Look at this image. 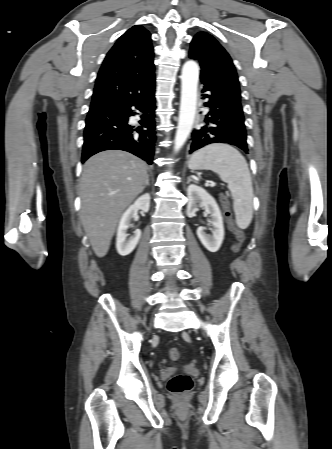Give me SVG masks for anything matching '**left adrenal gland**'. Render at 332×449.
I'll return each instance as SVG.
<instances>
[{"instance_id": "left-adrenal-gland-1", "label": "left adrenal gland", "mask_w": 332, "mask_h": 449, "mask_svg": "<svg viewBox=\"0 0 332 449\" xmlns=\"http://www.w3.org/2000/svg\"><path fill=\"white\" fill-rule=\"evenodd\" d=\"M191 181H193L190 177L187 178V183H190Z\"/></svg>"}]
</instances>
